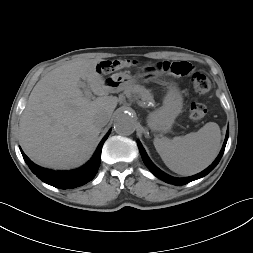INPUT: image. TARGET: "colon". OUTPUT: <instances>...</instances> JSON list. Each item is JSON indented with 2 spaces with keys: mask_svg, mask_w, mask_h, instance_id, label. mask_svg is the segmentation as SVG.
Instances as JSON below:
<instances>
[{
  "mask_svg": "<svg viewBox=\"0 0 253 253\" xmlns=\"http://www.w3.org/2000/svg\"><path fill=\"white\" fill-rule=\"evenodd\" d=\"M135 64L131 60H112L104 61L100 64L99 70L102 73L109 74L120 69L132 67ZM159 69L168 74L177 77H190L191 86L194 92L198 95H203L211 90V81L208 77L201 73L194 71L192 65L186 61L169 62L164 61L159 63ZM207 113V108L203 103L193 102L190 106V118L195 121H201Z\"/></svg>",
  "mask_w": 253,
  "mask_h": 253,
  "instance_id": "colon-1",
  "label": "colon"
}]
</instances>
